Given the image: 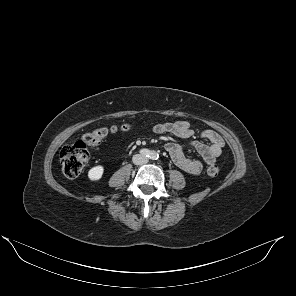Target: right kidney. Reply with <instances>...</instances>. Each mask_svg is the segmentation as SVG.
Listing matches in <instances>:
<instances>
[{
	"label": "right kidney",
	"mask_w": 296,
	"mask_h": 296,
	"mask_svg": "<svg viewBox=\"0 0 296 296\" xmlns=\"http://www.w3.org/2000/svg\"><path fill=\"white\" fill-rule=\"evenodd\" d=\"M104 173V167L101 165L91 168L88 172V178L91 181H98L102 178Z\"/></svg>",
	"instance_id": "right-kidney-1"
}]
</instances>
